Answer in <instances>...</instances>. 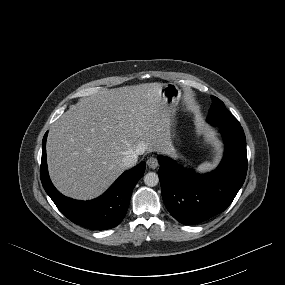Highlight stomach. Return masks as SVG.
I'll use <instances>...</instances> for the list:
<instances>
[{"instance_id": "1", "label": "stomach", "mask_w": 285, "mask_h": 285, "mask_svg": "<svg viewBox=\"0 0 285 285\" xmlns=\"http://www.w3.org/2000/svg\"><path fill=\"white\" fill-rule=\"evenodd\" d=\"M161 95L167 101L168 105L174 110L175 106L179 102L181 92L175 84L169 83L164 84L161 89Z\"/></svg>"}]
</instances>
